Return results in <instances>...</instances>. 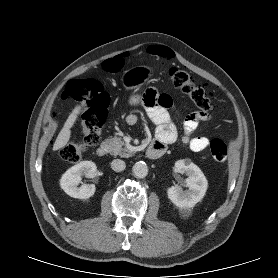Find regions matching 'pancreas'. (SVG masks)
I'll use <instances>...</instances> for the list:
<instances>
[{
    "instance_id": "obj_1",
    "label": "pancreas",
    "mask_w": 278,
    "mask_h": 278,
    "mask_svg": "<svg viewBox=\"0 0 278 278\" xmlns=\"http://www.w3.org/2000/svg\"><path fill=\"white\" fill-rule=\"evenodd\" d=\"M108 147V152L114 156H120L124 158H128L134 154L133 151L124 147V142L120 137H113L106 139L104 142Z\"/></svg>"
}]
</instances>
